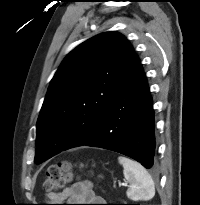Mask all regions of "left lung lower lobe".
Here are the masks:
<instances>
[{
  "mask_svg": "<svg viewBox=\"0 0 200 205\" xmlns=\"http://www.w3.org/2000/svg\"><path fill=\"white\" fill-rule=\"evenodd\" d=\"M119 152L155 166L154 112L142 65L133 53L111 104L90 137L79 146Z\"/></svg>",
  "mask_w": 200,
  "mask_h": 205,
  "instance_id": "obj_1",
  "label": "left lung lower lobe"
}]
</instances>
